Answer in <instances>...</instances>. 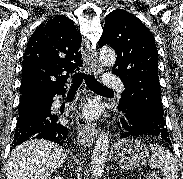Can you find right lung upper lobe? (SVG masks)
Masks as SVG:
<instances>
[{"instance_id":"right-lung-upper-lobe-1","label":"right lung upper lobe","mask_w":183,"mask_h":179,"mask_svg":"<svg viewBox=\"0 0 183 179\" xmlns=\"http://www.w3.org/2000/svg\"><path fill=\"white\" fill-rule=\"evenodd\" d=\"M80 46L81 34L68 17L56 16L41 24L23 56L21 97L41 89H65L69 74L82 64Z\"/></svg>"}]
</instances>
